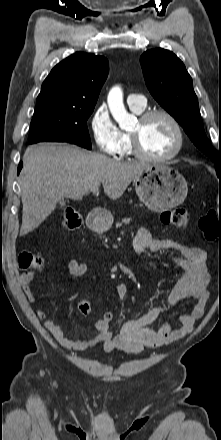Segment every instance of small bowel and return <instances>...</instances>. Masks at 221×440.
Here are the masks:
<instances>
[{"label": "small bowel", "mask_w": 221, "mask_h": 440, "mask_svg": "<svg viewBox=\"0 0 221 440\" xmlns=\"http://www.w3.org/2000/svg\"><path fill=\"white\" fill-rule=\"evenodd\" d=\"M133 250L141 254L145 249L153 253H172L178 280L168 296L167 302L155 306L145 314L126 321L120 331L113 335L110 330L111 321H103L102 317L95 322L97 333L94 336L78 339L67 336L61 327L53 320L47 318L45 311L36 310L37 317L44 322L46 329L56 341L67 350H85L102 345L107 352L121 350L127 353H136L143 348H157L170 344L192 332L196 323L202 318L208 301L206 284L208 282L206 253L204 250L179 243L169 238H153L151 233L140 228L133 239ZM67 268L72 276H82L87 271L84 262L71 259ZM32 272L21 276V284L28 300L33 302L35 297L31 289ZM116 294L123 300L128 294L126 284L116 286ZM188 299H193L195 305L192 311L180 317L181 326L172 328L165 318L166 313ZM157 320H162L158 330H152L149 325Z\"/></svg>", "instance_id": "small-bowel-1"}]
</instances>
